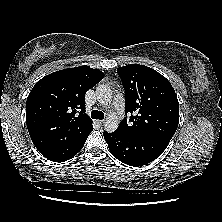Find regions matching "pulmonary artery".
I'll return each instance as SVG.
<instances>
[{
  "mask_svg": "<svg viewBox=\"0 0 222 222\" xmlns=\"http://www.w3.org/2000/svg\"><path fill=\"white\" fill-rule=\"evenodd\" d=\"M113 105H114V109H115L117 115L120 118H123L124 117V110H125L123 97L121 95L116 96L114 99Z\"/></svg>",
  "mask_w": 222,
  "mask_h": 222,
  "instance_id": "1",
  "label": "pulmonary artery"
}]
</instances>
